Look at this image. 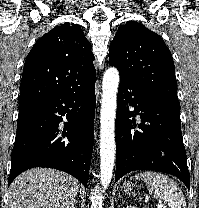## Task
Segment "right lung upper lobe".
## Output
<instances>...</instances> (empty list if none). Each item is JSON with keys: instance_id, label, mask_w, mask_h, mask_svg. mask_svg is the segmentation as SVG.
I'll return each instance as SVG.
<instances>
[{"instance_id": "right-lung-upper-lobe-1", "label": "right lung upper lobe", "mask_w": 199, "mask_h": 208, "mask_svg": "<svg viewBox=\"0 0 199 208\" xmlns=\"http://www.w3.org/2000/svg\"><path fill=\"white\" fill-rule=\"evenodd\" d=\"M91 48L77 24L64 23L43 35L26 58L19 105L88 84L96 72Z\"/></svg>"}]
</instances>
